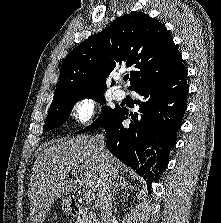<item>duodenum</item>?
<instances>
[{"label":"duodenum","mask_w":221,"mask_h":223,"mask_svg":"<svg viewBox=\"0 0 221 223\" xmlns=\"http://www.w3.org/2000/svg\"><path fill=\"white\" fill-rule=\"evenodd\" d=\"M83 208L84 206L79 200L75 198L70 200V209L73 214L81 213L83 211Z\"/></svg>","instance_id":"duodenum-1"}]
</instances>
